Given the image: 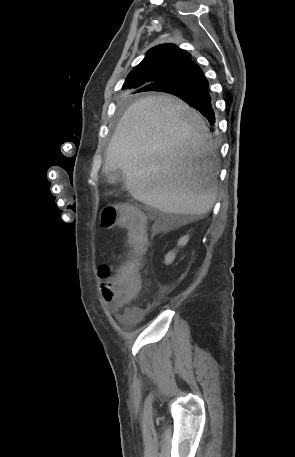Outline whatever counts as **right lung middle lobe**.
Segmentation results:
<instances>
[{
	"label": "right lung middle lobe",
	"mask_w": 295,
	"mask_h": 457,
	"mask_svg": "<svg viewBox=\"0 0 295 457\" xmlns=\"http://www.w3.org/2000/svg\"><path fill=\"white\" fill-rule=\"evenodd\" d=\"M163 92H168V93L173 94V93H175V90H163Z\"/></svg>",
	"instance_id": "obj_1"
}]
</instances>
